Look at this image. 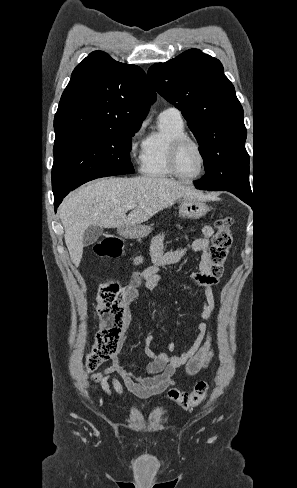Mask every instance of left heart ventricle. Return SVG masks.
Masks as SVG:
<instances>
[{
  "instance_id": "obj_1",
  "label": "left heart ventricle",
  "mask_w": 297,
  "mask_h": 488,
  "mask_svg": "<svg viewBox=\"0 0 297 488\" xmlns=\"http://www.w3.org/2000/svg\"><path fill=\"white\" fill-rule=\"evenodd\" d=\"M201 168V156L193 144H186L178 156V169L185 176H193Z\"/></svg>"
}]
</instances>
